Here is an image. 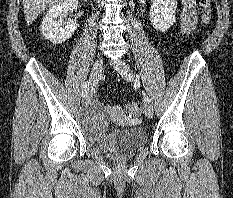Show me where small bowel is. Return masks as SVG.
I'll return each instance as SVG.
<instances>
[{
  "label": "small bowel",
  "mask_w": 233,
  "mask_h": 198,
  "mask_svg": "<svg viewBox=\"0 0 233 198\" xmlns=\"http://www.w3.org/2000/svg\"><path fill=\"white\" fill-rule=\"evenodd\" d=\"M181 4V31L188 34L195 29L197 24V10L195 0H180ZM117 112L120 110L117 109Z\"/></svg>",
  "instance_id": "small-bowel-1"
}]
</instances>
